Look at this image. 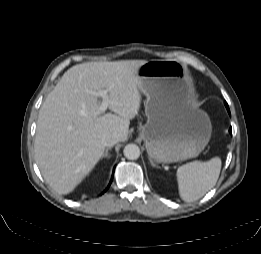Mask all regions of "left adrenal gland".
<instances>
[{
	"instance_id": "a2214340",
	"label": "left adrenal gland",
	"mask_w": 261,
	"mask_h": 254,
	"mask_svg": "<svg viewBox=\"0 0 261 254\" xmlns=\"http://www.w3.org/2000/svg\"><path fill=\"white\" fill-rule=\"evenodd\" d=\"M149 161H150V163H151L152 166L156 167V164L152 161L151 158H149Z\"/></svg>"
}]
</instances>
